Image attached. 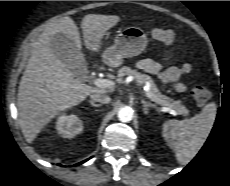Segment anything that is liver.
Returning <instances> with one entry per match:
<instances>
[{
    "instance_id": "1",
    "label": "liver",
    "mask_w": 230,
    "mask_h": 186,
    "mask_svg": "<svg viewBox=\"0 0 230 186\" xmlns=\"http://www.w3.org/2000/svg\"><path fill=\"white\" fill-rule=\"evenodd\" d=\"M119 21L116 15H86L81 22L86 48L99 51L102 38ZM58 33L67 35L81 52L80 33L70 17L50 24L33 43L17 101L19 125L28 143H32L41 129L60 112L80 104L93 93L107 92L74 78V73L52 49L51 40Z\"/></svg>"
}]
</instances>
